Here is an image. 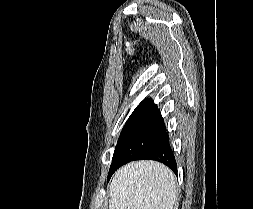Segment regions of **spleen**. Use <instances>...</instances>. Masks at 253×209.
Returning <instances> with one entry per match:
<instances>
[{"instance_id": "3e777b00", "label": "spleen", "mask_w": 253, "mask_h": 209, "mask_svg": "<svg viewBox=\"0 0 253 209\" xmlns=\"http://www.w3.org/2000/svg\"><path fill=\"white\" fill-rule=\"evenodd\" d=\"M109 192V209H173L175 176L157 162H132L115 173Z\"/></svg>"}]
</instances>
